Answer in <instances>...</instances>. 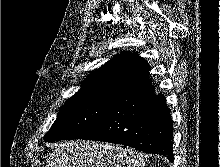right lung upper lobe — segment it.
Here are the masks:
<instances>
[{"instance_id":"right-lung-upper-lobe-1","label":"right lung upper lobe","mask_w":220,"mask_h":167,"mask_svg":"<svg viewBox=\"0 0 220 167\" xmlns=\"http://www.w3.org/2000/svg\"><path fill=\"white\" fill-rule=\"evenodd\" d=\"M149 64L136 53L123 52L92 72L81 89L70 99L120 95L151 84L148 78Z\"/></svg>"}]
</instances>
